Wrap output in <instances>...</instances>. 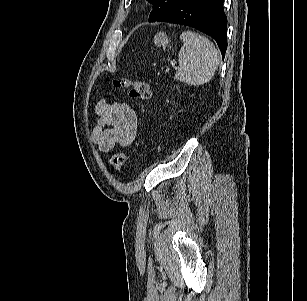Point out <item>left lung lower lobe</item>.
Wrapping results in <instances>:
<instances>
[{
  "label": "left lung lower lobe",
  "mask_w": 307,
  "mask_h": 301,
  "mask_svg": "<svg viewBox=\"0 0 307 301\" xmlns=\"http://www.w3.org/2000/svg\"><path fill=\"white\" fill-rule=\"evenodd\" d=\"M158 22L196 28L216 40L224 58L227 49V18L223 0H179Z\"/></svg>",
  "instance_id": "0a47b994"
}]
</instances>
